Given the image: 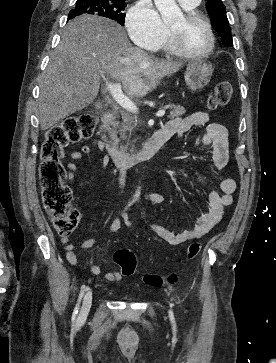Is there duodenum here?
<instances>
[{
  "mask_svg": "<svg viewBox=\"0 0 276 363\" xmlns=\"http://www.w3.org/2000/svg\"><path fill=\"white\" fill-rule=\"evenodd\" d=\"M114 118L115 112L113 110L104 111L101 115L98 133L103 146L115 166L132 165L136 162L150 159L169 139L166 133L158 131L141 149L131 152L121 151L112 143L108 133L109 126Z\"/></svg>",
  "mask_w": 276,
  "mask_h": 363,
  "instance_id": "1",
  "label": "duodenum"
}]
</instances>
